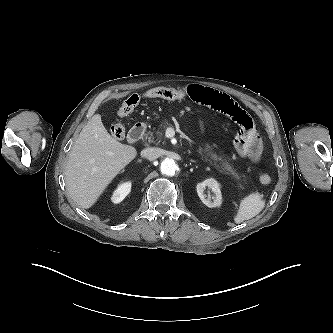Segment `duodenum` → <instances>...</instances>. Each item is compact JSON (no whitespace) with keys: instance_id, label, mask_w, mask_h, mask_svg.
<instances>
[{"instance_id":"duodenum-1","label":"duodenum","mask_w":333,"mask_h":333,"mask_svg":"<svg viewBox=\"0 0 333 333\" xmlns=\"http://www.w3.org/2000/svg\"><path fill=\"white\" fill-rule=\"evenodd\" d=\"M146 127L143 124L134 125L128 133V141L131 143L138 142L145 134Z\"/></svg>"}]
</instances>
